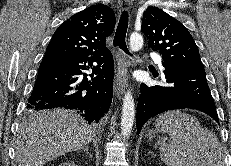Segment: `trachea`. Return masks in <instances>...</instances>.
I'll use <instances>...</instances> for the list:
<instances>
[{
  "label": "trachea",
  "instance_id": "1",
  "mask_svg": "<svg viewBox=\"0 0 231 166\" xmlns=\"http://www.w3.org/2000/svg\"><path fill=\"white\" fill-rule=\"evenodd\" d=\"M127 28H128V12L123 11L119 20V24L115 33L113 45L115 47L121 48L126 54L131 55L129 52L125 38H126V33H127Z\"/></svg>",
  "mask_w": 231,
  "mask_h": 166
}]
</instances>
